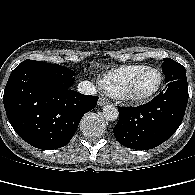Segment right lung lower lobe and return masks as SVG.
Masks as SVG:
<instances>
[{
    "instance_id": "right-lung-lower-lobe-1",
    "label": "right lung lower lobe",
    "mask_w": 195,
    "mask_h": 195,
    "mask_svg": "<svg viewBox=\"0 0 195 195\" xmlns=\"http://www.w3.org/2000/svg\"><path fill=\"white\" fill-rule=\"evenodd\" d=\"M49 74L16 67L6 84L3 103L10 124L30 145L51 150L69 143L83 115L95 108L97 96L58 88Z\"/></svg>"
}]
</instances>
